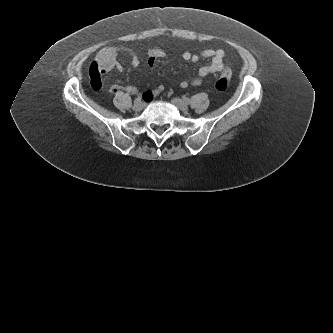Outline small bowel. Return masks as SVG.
Here are the masks:
<instances>
[{"label": "small bowel", "instance_id": "1", "mask_svg": "<svg viewBox=\"0 0 333 333\" xmlns=\"http://www.w3.org/2000/svg\"><path fill=\"white\" fill-rule=\"evenodd\" d=\"M122 48L119 46H106L102 48L96 58L89 65L90 72V85L93 90L98 91L102 87V80L100 73H107L113 69L121 70L122 66L117 60L118 53ZM131 65L133 67H138L141 65L140 57L134 53L129 51ZM165 56L163 50L159 48H152L149 50L147 54V63L149 66H153L157 59H160ZM200 57L210 59V63L200 67L197 71V76L192 79L185 78L180 82V86L182 88H186L190 85L198 86L202 83L204 78H206L209 74L220 72L225 68V52L221 49H206L200 55L192 54L188 51L183 52L182 58L185 61L197 63ZM163 86H158L153 90H148L144 93L146 98H151L160 94L163 91ZM121 90L129 94H137L138 89L134 86H125L122 87L118 84H114L110 86L109 93L115 94Z\"/></svg>", "mask_w": 333, "mask_h": 333}]
</instances>
